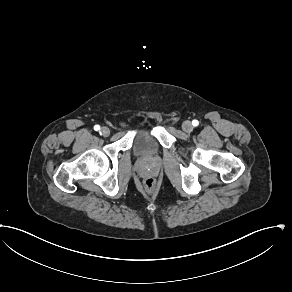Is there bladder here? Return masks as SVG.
<instances>
[{"label": "bladder", "instance_id": "obj_1", "mask_svg": "<svg viewBox=\"0 0 292 292\" xmlns=\"http://www.w3.org/2000/svg\"><path fill=\"white\" fill-rule=\"evenodd\" d=\"M158 149V141L149 126H141L133 138V151L136 155H147Z\"/></svg>", "mask_w": 292, "mask_h": 292}]
</instances>
